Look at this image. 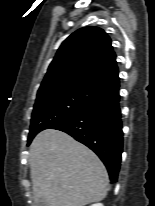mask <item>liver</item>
<instances>
[{
	"label": "liver",
	"mask_w": 155,
	"mask_h": 206,
	"mask_svg": "<svg viewBox=\"0 0 155 206\" xmlns=\"http://www.w3.org/2000/svg\"><path fill=\"white\" fill-rule=\"evenodd\" d=\"M34 201L46 206H85L102 201L109 177L104 164L68 134L46 129L30 145Z\"/></svg>",
	"instance_id": "6515ba94"
}]
</instances>
